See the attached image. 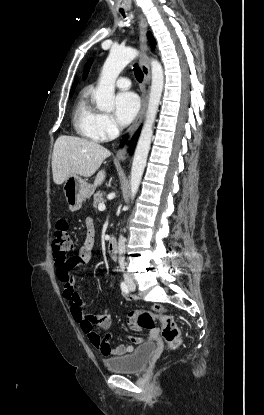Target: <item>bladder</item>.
<instances>
[{
  "label": "bladder",
  "mask_w": 264,
  "mask_h": 415,
  "mask_svg": "<svg viewBox=\"0 0 264 415\" xmlns=\"http://www.w3.org/2000/svg\"><path fill=\"white\" fill-rule=\"evenodd\" d=\"M156 351V343L138 346L131 354L104 360V365L114 373H137L142 371Z\"/></svg>",
  "instance_id": "obj_1"
}]
</instances>
